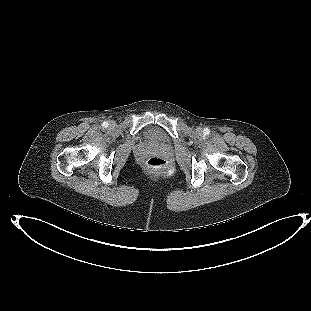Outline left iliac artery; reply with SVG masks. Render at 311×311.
<instances>
[{
    "label": "left iliac artery",
    "instance_id": "1",
    "mask_svg": "<svg viewBox=\"0 0 311 311\" xmlns=\"http://www.w3.org/2000/svg\"><path fill=\"white\" fill-rule=\"evenodd\" d=\"M204 133L208 135V134L210 133V129L205 128V129H204Z\"/></svg>",
    "mask_w": 311,
    "mask_h": 311
}]
</instances>
